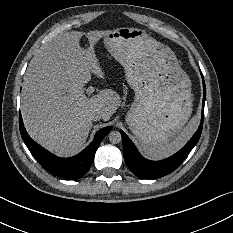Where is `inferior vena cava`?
<instances>
[{"mask_svg": "<svg viewBox=\"0 0 233 233\" xmlns=\"http://www.w3.org/2000/svg\"><path fill=\"white\" fill-rule=\"evenodd\" d=\"M89 118L92 121H97V120H100L102 118V115L99 112H95V113H92Z\"/></svg>", "mask_w": 233, "mask_h": 233, "instance_id": "obj_1", "label": "inferior vena cava"}]
</instances>
